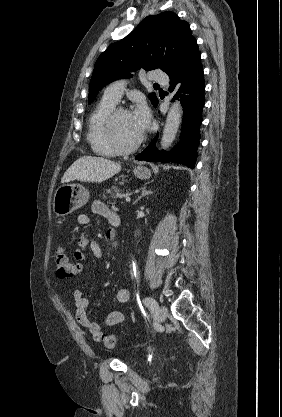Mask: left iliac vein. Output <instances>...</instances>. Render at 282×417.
<instances>
[{"label":"left iliac vein","instance_id":"1","mask_svg":"<svg viewBox=\"0 0 282 417\" xmlns=\"http://www.w3.org/2000/svg\"><path fill=\"white\" fill-rule=\"evenodd\" d=\"M167 312H168L167 311V308L165 306H163V305H161L158 308V321L159 322H162V321H164L166 319Z\"/></svg>","mask_w":282,"mask_h":417}]
</instances>
